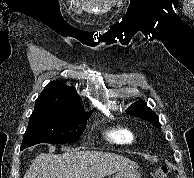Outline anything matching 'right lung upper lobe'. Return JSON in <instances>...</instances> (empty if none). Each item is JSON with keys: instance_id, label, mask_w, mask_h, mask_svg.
Here are the masks:
<instances>
[{"instance_id": "obj_1", "label": "right lung upper lobe", "mask_w": 194, "mask_h": 178, "mask_svg": "<svg viewBox=\"0 0 194 178\" xmlns=\"http://www.w3.org/2000/svg\"><path fill=\"white\" fill-rule=\"evenodd\" d=\"M35 103L49 104L70 112L84 113L79 95L74 89L59 80L47 84Z\"/></svg>"}]
</instances>
